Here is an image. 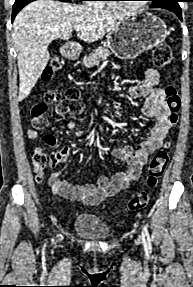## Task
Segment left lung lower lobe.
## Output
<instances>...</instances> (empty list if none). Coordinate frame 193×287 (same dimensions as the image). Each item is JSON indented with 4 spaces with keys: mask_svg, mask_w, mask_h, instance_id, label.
<instances>
[{
    "mask_svg": "<svg viewBox=\"0 0 193 287\" xmlns=\"http://www.w3.org/2000/svg\"><path fill=\"white\" fill-rule=\"evenodd\" d=\"M159 8H163V9H167L169 11H172L182 21V11H181L179 4H171V5L161 6Z\"/></svg>",
    "mask_w": 193,
    "mask_h": 287,
    "instance_id": "0a47b994",
    "label": "left lung lower lobe"
}]
</instances>
